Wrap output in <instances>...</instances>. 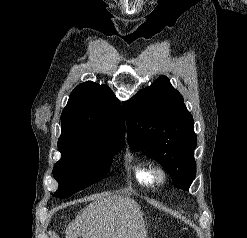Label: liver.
I'll return each mask as SVG.
<instances>
[{
    "label": "liver",
    "instance_id": "1",
    "mask_svg": "<svg viewBox=\"0 0 247 238\" xmlns=\"http://www.w3.org/2000/svg\"><path fill=\"white\" fill-rule=\"evenodd\" d=\"M65 238H145L139 205L128 197H99L81 210Z\"/></svg>",
    "mask_w": 247,
    "mask_h": 238
}]
</instances>
